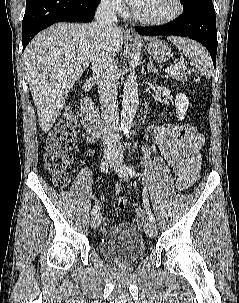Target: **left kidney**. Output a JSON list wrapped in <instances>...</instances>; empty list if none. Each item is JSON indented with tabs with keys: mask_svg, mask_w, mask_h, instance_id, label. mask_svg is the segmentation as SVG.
<instances>
[{
	"mask_svg": "<svg viewBox=\"0 0 239 303\" xmlns=\"http://www.w3.org/2000/svg\"><path fill=\"white\" fill-rule=\"evenodd\" d=\"M175 105L177 107L176 114L179 121L184 120L187 109L190 105L188 98L183 93H178L175 99Z\"/></svg>",
	"mask_w": 239,
	"mask_h": 303,
	"instance_id": "obj_1",
	"label": "left kidney"
}]
</instances>
